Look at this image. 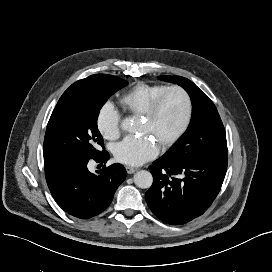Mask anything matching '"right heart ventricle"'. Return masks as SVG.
<instances>
[{
  "label": "right heart ventricle",
  "mask_w": 272,
  "mask_h": 272,
  "mask_svg": "<svg viewBox=\"0 0 272 272\" xmlns=\"http://www.w3.org/2000/svg\"><path fill=\"white\" fill-rule=\"evenodd\" d=\"M168 85L138 83L119 98L121 107L132 116H142L154 98Z\"/></svg>",
  "instance_id": "e07e8e85"
}]
</instances>
